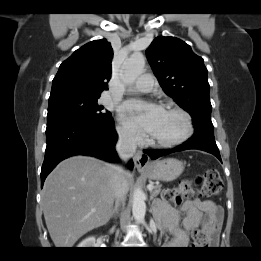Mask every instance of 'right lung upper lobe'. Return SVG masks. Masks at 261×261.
Returning <instances> with one entry per match:
<instances>
[{"label": "right lung upper lobe", "instance_id": "cb5924a9", "mask_svg": "<svg viewBox=\"0 0 261 261\" xmlns=\"http://www.w3.org/2000/svg\"><path fill=\"white\" fill-rule=\"evenodd\" d=\"M112 57L113 50L106 39L83 45L60 65L53 79L51 95L77 92L100 96L108 89Z\"/></svg>", "mask_w": 261, "mask_h": 261}]
</instances>
